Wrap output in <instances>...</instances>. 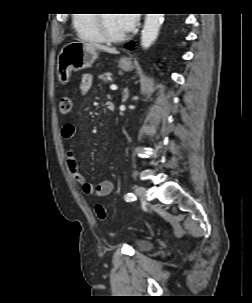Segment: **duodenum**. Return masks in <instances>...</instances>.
<instances>
[{
    "label": "duodenum",
    "instance_id": "410a0bca",
    "mask_svg": "<svg viewBox=\"0 0 252 303\" xmlns=\"http://www.w3.org/2000/svg\"><path fill=\"white\" fill-rule=\"evenodd\" d=\"M114 103L112 102V101H108L107 103H106V108L108 109V110H113L114 109Z\"/></svg>",
    "mask_w": 252,
    "mask_h": 303
}]
</instances>
